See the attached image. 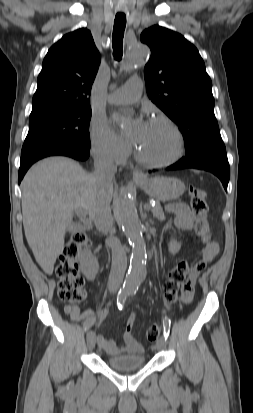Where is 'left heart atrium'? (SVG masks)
<instances>
[{"instance_id":"left-heart-atrium-1","label":"left heart atrium","mask_w":253,"mask_h":413,"mask_svg":"<svg viewBox=\"0 0 253 413\" xmlns=\"http://www.w3.org/2000/svg\"><path fill=\"white\" fill-rule=\"evenodd\" d=\"M146 127H147V123H146V122H144V121H138L137 126H136V128H135V130H134V133H133V140H134V142L137 143V142L140 140V138H141V136L143 135Z\"/></svg>"}]
</instances>
